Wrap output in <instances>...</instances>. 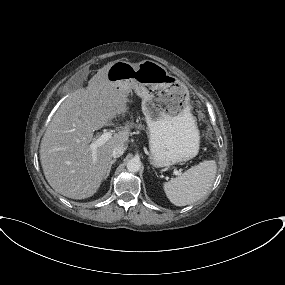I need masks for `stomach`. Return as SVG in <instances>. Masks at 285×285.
I'll list each match as a JSON object with an SVG mask.
<instances>
[{
  "label": "stomach",
  "instance_id": "obj_1",
  "mask_svg": "<svg viewBox=\"0 0 285 285\" xmlns=\"http://www.w3.org/2000/svg\"><path fill=\"white\" fill-rule=\"evenodd\" d=\"M107 79L142 98L153 167L171 166L197 155L200 136L188 88L164 66L151 60L136 64L116 61L108 69Z\"/></svg>",
  "mask_w": 285,
  "mask_h": 285
}]
</instances>
